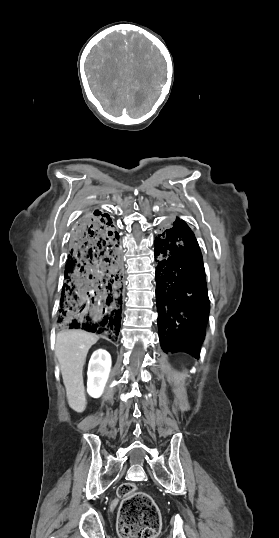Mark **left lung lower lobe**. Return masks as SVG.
Segmentation results:
<instances>
[{
	"mask_svg": "<svg viewBox=\"0 0 279 538\" xmlns=\"http://www.w3.org/2000/svg\"><path fill=\"white\" fill-rule=\"evenodd\" d=\"M154 245L161 347L164 352L199 358L210 309L200 248L179 218L156 237Z\"/></svg>",
	"mask_w": 279,
	"mask_h": 538,
	"instance_id": "0a47b994",
	"label": "left lung lower lobe"
}]
</instances>
